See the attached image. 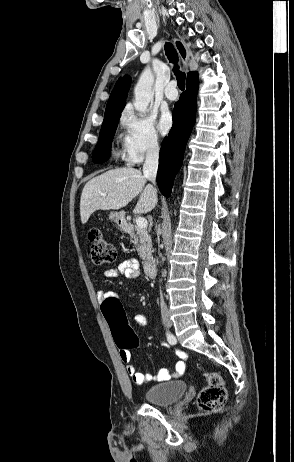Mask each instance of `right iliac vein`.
Here are the masks:
<instances>
[{"mask_svg": "<svg viewBox=\"0 0 294 462\" xmlns=\"http://www.w3.org/2000/svg\"><path fill=\"white\" fill-rule=\"evenodd\" d=\"M165 321L167 322V317H165Z\"/></svg>", "mask_w": 294, "mask_h": 462, "instance_id": "1", "label": "right iliac vein"}]
</instances>
